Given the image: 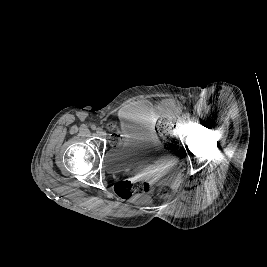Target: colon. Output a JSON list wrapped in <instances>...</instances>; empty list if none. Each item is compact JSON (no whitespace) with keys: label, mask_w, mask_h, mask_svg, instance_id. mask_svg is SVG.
Instances as JSON below:
<instances>
[{"label":"colon","mask_w":267,"mask_h":267,"mask_svg":"<svg viewBox=\"0 0 267 267\" xmlns=\"http://www.w3.org/2000/svg\"><path fill=\"white\" fill-rule=\"evenodd\" d=\"M172 127L173 124L167 118H162L158 122V129L164 133H169ZM107 129L110 131L111 143H117L121 140V135L114 124H107ZM152 192L163 197L167 195L168 189L163 185L154 186V183L148 179H141L134 182L125 180L119 182L116 186V193L123 199H131Z\"/></svg>","instance_id":"colon-1"}]
</instances>
